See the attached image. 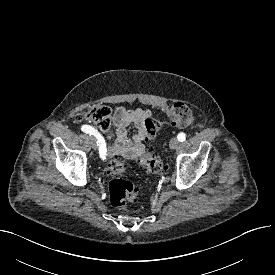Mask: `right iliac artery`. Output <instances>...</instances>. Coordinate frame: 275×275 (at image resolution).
<instances>
[{"label": "right iliac artery", "instance_id": "82829eb1", "mask_svg": "<svg viewBox=\"0 0 275 275\" xmlns=\"http://www.w3.org/2000/svg\"><path fill=\"white\" fill-rule=\"evenodd\" d=\"M81 130L87 134L95 135L97 138V145H99V154L100 157L104 160L106 158V143L104 138L101 136L100 133H98L93 127L89 125H83L81 127Z\"/></svg>", "mask_w": 275, "mask_h": 275}]
</instances>
